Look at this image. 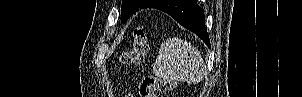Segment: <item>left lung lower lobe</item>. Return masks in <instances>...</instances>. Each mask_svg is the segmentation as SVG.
I'll return each instance as SVG.
<instances>
[{
	"label": "left lung lower lobe",
	"instance_id": "1",
	"mask_svg": "<svg viewBox=\"0 0 302 97\" xmlns=\"http://www.w3.org/2000/svg\"><path fill=\"white\" fill-rule=\"evenodd\" d=\"M146 8H156L171 15L178 23L194 32L210 47L204 12L196 0H152Z\"/></svg>",
	"mask_w": 302,
	"mask_h": 97
}]
</instances>
